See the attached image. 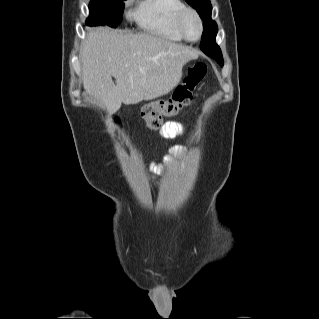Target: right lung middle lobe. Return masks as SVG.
Wrapping results in <instances>:
<instances>
[{"instance_id": "dd1d6c3e", "label": "right lung middle lobe", "mask_w": 319, "mask_h": 319, "mask_svg": "<svg viewBox=\"0 0 319 319\" xmlns=\"http://www.w3.org/2000/svg\"><path fill=\"white\" fill-rule=\"evenodd\" d=\"M124 2L122 0H91L89 17L86 24L89 26L108 25L116 27L122 20Z\"/></svg>"}]
</instances>
